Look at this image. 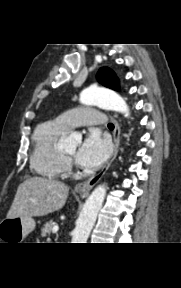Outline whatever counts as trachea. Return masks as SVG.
Masks as SVG:
<instances>
[{
    "label": "trachea",
    "mask_w": 181,
    "mask_h": 288,
    "mask_svg": "<svg viewBox=\"0 0 181 288\" xmlns=\"http://www.w3.org/2000/svg\"><path fill=\"white\" fill-rule=\"evenodd\" d=\"M108 128L111 129V130H113V129H114V125H113L112 123H109V124H108Z\"/></svg>",
    "instance_id": "trachea-1"
}]
</instances>
